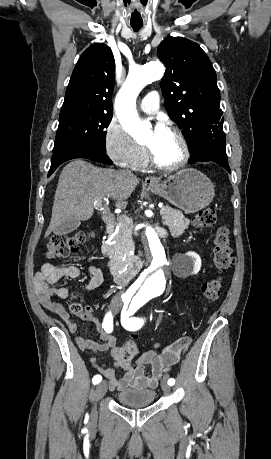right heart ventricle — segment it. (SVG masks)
Listing matches in <instances>:
<instances>
[{
  "label": "right heart ventricle",
  "mask_w": 271,
  "mask_h": 459,
  "mask_svg": "<svg viewBox=\"0 0 271 459\" xmlns=\"http://www.w3.org/2000/svg\"><path fill=\"white\" fill-rule=\"evenodd\" d=\"M147 164H148V162H147V160L144 158V159H142L141 161H139L138 163H136V164L134 165V167L137 168V169H143V168H145V167L147 166Z\"/></svg>",
  "instance_id": "1"
}]
</instances>
